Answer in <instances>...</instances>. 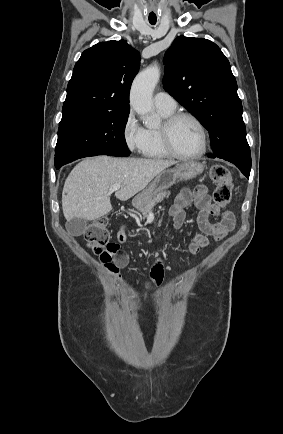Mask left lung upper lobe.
Here are the masks:
<instances>
[{
    "mask_svg": "<svg viewBox=\"0 0 283 434\" xmlns=\"http://www.w3.org/2000/svg\"><path fill=\"white\" fill-rule=\"evenodd\" d=\"M163 61L164 89L209 131V157L251 163L236 79L221 49L204 38L179 36Z\"/></svg>",
    "mask_w": 283,
    "mask_h": 434,
    "instance_id": "5c2ea615",
    "label": "left lung upper lobe"
}]
</instances>
